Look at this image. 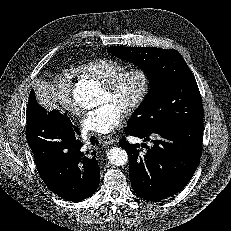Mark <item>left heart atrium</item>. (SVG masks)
Here are the masks:
<instances>
[{
	"instance_id": "left-heart-atrium-1",
	"label": "left heart atrium",
	"mask_w": 231,
	"mask_h": 231,
	"mask_svg": "<svg viewBox=\"0 0 231 231\" xmlns=\"http://www.w3.org/2000/svg\"><path fill=\"white\" fill-rule=\"evenodd\" d=\"M123 117V110L108 101L87 112L82 119V127L88 132L108 134L121 124Z\"/></svg>"
}]
</instances>
